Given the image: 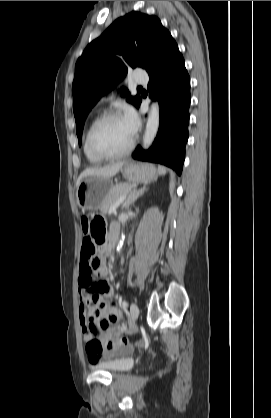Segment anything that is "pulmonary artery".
<instances>
[{
	"label": "pulmonary artery",
	"mask_w": 271,
	"mask_h": 418,
	"mask_svg": "<svg viewBox=\"0 0 271 418\" xmlns=\"http://www.w3.org/2000/svg\"><path fill=\"white\" fill-rule=\"evenodd\" d=\"M133 80L138 84H146L148 82V76L143 72H137L134 74Z\"/></svg>",
	"instance_id": "pulmonary-artery-1"
}]
</instances>
